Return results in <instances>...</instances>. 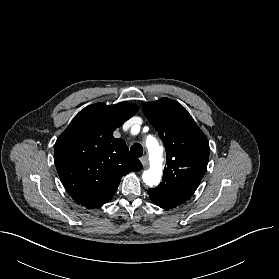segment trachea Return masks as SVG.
Wrapping results in <instances>:
<instances>
[{"instance_id":"3493384b","label":"trachea","mask_w":279,"mask_h":279,"mask_svg":"<svg viewBox=\"0 0 279 279\" xmlns=\"http://www.w3.org/2000/svg\"><path fill=\"white\" fill-rule=\"evenodd\" d=\"M130 152L133 156L135 157H141L143 154V147L141 144L139 143H135L132 145V147L130 148Z\"/></svg>"}]
</instances>
